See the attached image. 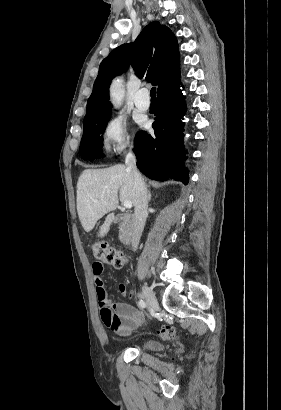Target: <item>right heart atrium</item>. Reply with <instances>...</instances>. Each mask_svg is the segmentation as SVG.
<instances>
[{
	"mask_svg": "<svg viewBox=\"0 0 281 410\" xmlns=\"http://www.w3.org/2000/svg\"><path fill=\"white\" fill-rule=\"evenodd\" d=\"M103 149L107 153H118L131 145L126 119L115 115L106 123L103 133Z\"/></svg>",
	"mask_w": 281,
	"mask_h": 410,
	"instance_id": "right-heart-atrium-1",
	"label": "right heart atrium"
}]
</instances>
